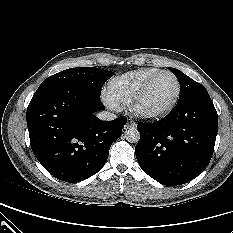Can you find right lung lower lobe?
<instances>
[{
    "label": "right lung lower lobe",
    "mask_w": 233,
    "mask_h": 233,
    "mask_svg": "<svg viewBox=\"0 0 233 233\" xmlns=\"http://www.w3.org/2000/svg\"><path fill=\"white\" fill-rule=\"evenodd\" d=\"M99 98L68 84L32 97L26 115L31 148L54 177L80 182L106 163L127 119L99 120L93 114L105 109Z\"/></svg>",
    "instance_id": "98d812e1"
}]
</instances>
